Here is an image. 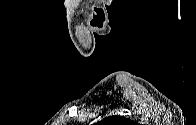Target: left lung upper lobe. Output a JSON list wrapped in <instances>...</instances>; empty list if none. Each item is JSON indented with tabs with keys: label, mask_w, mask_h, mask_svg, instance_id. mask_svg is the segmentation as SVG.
Wrapping results in <instances>:
<instances>
[{
	"label": "left lung upper lobe",
	"mask_w": 196,
	"mask_h": 125,
	"mask_svg": "<svg viewBox=\"0 0 196 125\" xmlns=\"http://www.w3.org/2000/svg\"><path fill=\"white\" fill-rule=\"evenodd\" d=\"M133 121L122 116H110L101 121L102 125H132Z\"/></svg>",
	"instance_id": "left-lung-upper-lobe-1"
}]
</instances>
